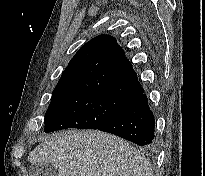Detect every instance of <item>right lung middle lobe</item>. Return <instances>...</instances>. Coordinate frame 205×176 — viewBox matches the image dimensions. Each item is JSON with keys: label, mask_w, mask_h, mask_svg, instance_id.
<instances>
[{"label": "right lung middle lobe", "mask_w": 205, "mask_h": 176, "mask_svg": "<svg viewBox=\"0 0 205 176\" xmlns=\"http://www.w3.org/2000/svg\"><path fill=\"white\" fill-rule=\"evenodd\" d=\"M128 100L103 92L52 96L45 115V132L66 128L99 129L111 121Z\"/></svg>", "instance_id": "right-lung-middle-lobe-1"}]
</instances>
